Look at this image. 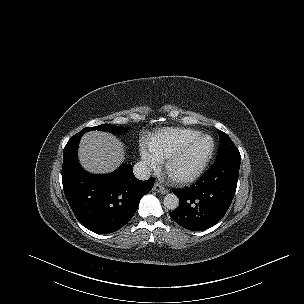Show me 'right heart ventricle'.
<instances>
[{"label":"right heart ventricle","instance_id":"right-heart-ventricle-1","mask_svg":"<svg viewBox=\"0 0 304 304\" xmlns=\"http://www.w3.org/2000/svg\"><path fill=\"white\" fill-rule=\"evenodd\" d=\"M201 132L190 128H164L154 133L151 138V148L161 158H169Z\"/></svg>","mask_w":304,"mask_h":304}]
</instances>
